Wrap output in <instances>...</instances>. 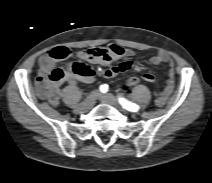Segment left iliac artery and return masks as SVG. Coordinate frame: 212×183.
Here are the masks:
<instances>
[{
	"mask_svg": "<svg viewBox=\"0 0 212 183\" xmlns=\"http://www.w3.org/2000/svg\"><path fill=\"white\" fill-rule=\"evenodd\" d=\"M119 103L121 106L131 112H137L139 110V106L133 102L126 100L125 98L119 97Z\"/></svg>",
	"mask_w": 212,
	"mask_h": 183,
	"instance_id": "left-iliac-artery-1",
	"label": "left iliac artery"
}]
</instances>
